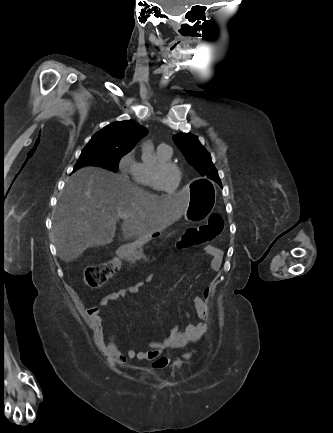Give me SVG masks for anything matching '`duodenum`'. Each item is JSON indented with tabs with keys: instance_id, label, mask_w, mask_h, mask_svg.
<instances>
[{
	"instance_id": "duodenum-1",
	"label": "duodenum",
	"mask_w": 333,
	"mask_h": 433,
	"mask_svg": "<svg viewBox=\"0 0 333 433\" xmlns=\"http://www.w3.org/2000/svg\"><path fill=\"white\" fill-rule=\"evenodd\" d=\"M151 240L152 239L150 237H137L136 241H133L132 244H130L129 241H126L124 244H122L116 249L118 251L117 257L128 258L126 260L128 263H135L137 260L134 258V253H132L133 249H139V246H144L145 241L150 242Z\"/></svg>"
}]
</instances>
